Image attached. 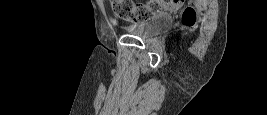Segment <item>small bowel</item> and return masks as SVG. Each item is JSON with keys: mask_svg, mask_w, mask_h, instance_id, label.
I'll return each mask as SVG.
<instances>
[{"mask_svg": "<svg viewBox=\"0 0 267 115\" xmlns=\"http://www.w3.org/2000/svg\"><path fill=\"white\" fill-rule=\"evenodd\" d=\"M163 8L169 12H177L182 7V2L179 0H171L162 3Z\"/></svg>", "mask_w": 267, "mask_h": 115, "instance_id": "c3829d8e", "label": "small bowel"}]
</instances>
